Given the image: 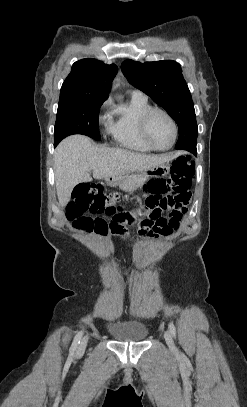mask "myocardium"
Returning a JSON list of instances; mask_svg holds the SVG:
<instances>
[{
  "instance_id": "obj_1",
  "label": "myocardium",
  "mask_w": 247,
  "mask_h": 407,
  "mask_svg": "<svg viewBox=\"0 0 247 407\" xmlns=\"http://www.w3.org/2000/svg\"><path fill=\"white\" fill-rule=\"evenodd\" d=\"M156 113L164 115L171 122L172 127H173V139H172L170 145L165 148H159V147L155 146L152 143V141L150 140V137L148 135L149 120ZM139 132H140L142 140L145 142V144L148 147H150L154 151L162 152V151H167V150L171 149L173 147V145L175 144L177 137H178V125H177L175 119L173 118V116L169 112H167L166 110L161 109V108L151 107L141 116V118L139 120Z\"/></svg>"
}]
</instances>
